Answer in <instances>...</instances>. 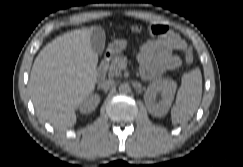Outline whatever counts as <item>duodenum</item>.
<instances>
[{
	"label": "duodenum",
	"mask_w": 243,
	"mask_h": 167,
	"mask_svg": "<svg viewBox=\"0 0 243 167\" xmlns=\"http://www.w3.org/2000/svg\"><path fill=\"white\" fill-rule=\"evenodd\" d=\"M112 57V53L111 52H107L104 55V60L103 62L99 65V67L97 68L96 71V76L98 80H103L105 77V70H106V62L111 59Z\"/></svg>",
	"instance_id": "duodenum-1"
}]
</instances>
